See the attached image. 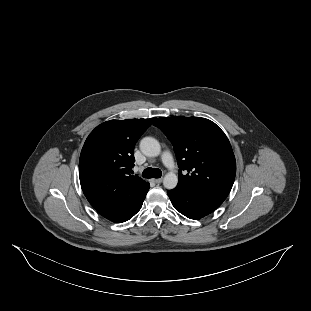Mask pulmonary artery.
<instances>
[{"instance_id": "pulmonary-artery-1", "label": "pulmonary artery", "mask_w": 311, "mask_h": 311, "mask_svg": "<svg viewBox=\"0 0 311 311\" xmlns=\"http://www.w3.org/2000/svg\"><path fill=\"white\" fill-rule=\"evenodd\" d=\"M161 161L167 167H173V157L169 150H166L161 155Z\"/></svg>"}]
</instances>
